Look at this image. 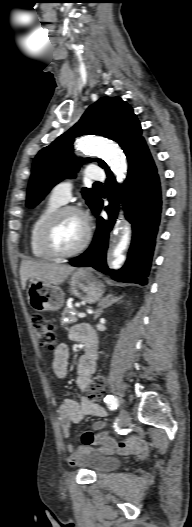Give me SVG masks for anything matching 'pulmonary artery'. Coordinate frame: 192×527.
<instances>
[{
	"label": "pulmonary artery",
	"mask_w": 192,
	"mask_h": 527,
	"mask_svg": "<svg viewBox=\"0 0 192 527\" xmlns=\"http://www.w3.org/2000/svg\"><path fill=\"white\" fill-rule=\"evenodd\" d=\"M85 175L91 180L101 181L105 178L104 171L97 166H89L85 170ZM73 189V182L71 180H65L57 185L51 191L50 198L60 202L66 203L71 198V192Z\"/></svg>",
	"instance_id": "e3ab8cb5"
}]
</instances>
